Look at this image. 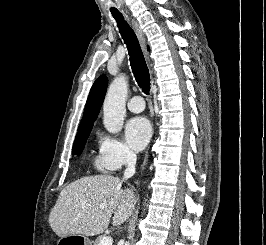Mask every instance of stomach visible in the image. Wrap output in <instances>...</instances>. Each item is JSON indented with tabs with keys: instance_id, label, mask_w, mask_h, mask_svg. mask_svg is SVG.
<instances>
[{
	"instance_id": "obj_1",
	"label": "stomach",
	"mask_w": 266,
	"mask_h": 245,
	"mask_svg": "<svg viewBox=\"0 0 266 245\" xmlns=\"http://www.w3.org/2000/svg\"><path fill=\"white\" fill-rule=\"evenodd\" d=\"M61 242H75V245H92L90 239L85 235H77L76 233H69V237H61Z\"/></svg>"
}]
</instances>
